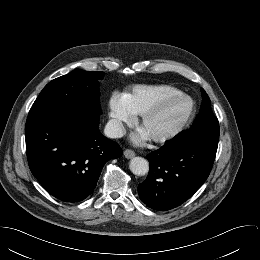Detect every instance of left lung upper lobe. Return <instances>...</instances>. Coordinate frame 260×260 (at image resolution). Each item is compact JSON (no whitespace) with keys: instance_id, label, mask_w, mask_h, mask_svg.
<instances>
[{"instance_id":"5c2ea615","label":"left lung upper lobe","mask_w":260,"mask_h":260,"mask_svg":"<svg viewBox=\"0 0 260 260\" xmlns=\"http://www.w3.org/2000/svg\"><path fill=\"white\" fill-rule=\"evenodd\" d=\"M202 105L200 113L196 117L190 131L179 134L176 138L183 141H203L218 144L219 123L214 116L210 99L205 90L202 89Z\"/></svg>"}]
</instances>
